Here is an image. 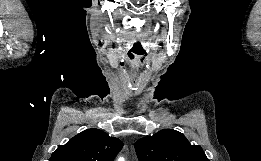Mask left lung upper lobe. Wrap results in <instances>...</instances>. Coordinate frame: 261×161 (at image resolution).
<instances>
[{"mask_svg": "<svg viewBox=\"0 0 261 161\" xmlns=\"http://www.w3.org/2000/svg\"><path fill=\"white\" fill-rule=\"evenodd\" d=\"M139 161H209L199 145H191L173 129H163L135 143Z\"/></svg>", "mask_w": 261, "mask_h": 161, "instance_id": "obj_1", "label": "left lung upper lobe"}]
</instances>
